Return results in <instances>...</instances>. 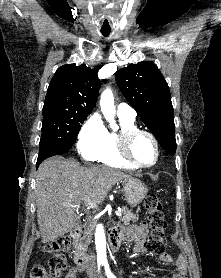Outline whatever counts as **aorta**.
<instances>
[{
  "label": "aorta",
  "mask_w": 221,
  "mask_h": 278,
  "mask_svg": "<svg viewBox=\"0 0 221 278\" xmlns=\"http://www.w3.org/2000/svg\"><path fill=\"white\" fill-rule=\"evenodd\" d=\"M100 107L101 111L110 123L114 122L115 117V105H114V96L110 88H106L100 97ZM95 244L97 251V261L105 262L107 260L106 255V239L105 231L102 224H98L95 231Z\"/></svg>",
  "instance_id": "obj_1"
}]
</instances>
